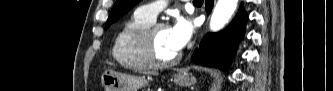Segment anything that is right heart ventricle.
Returning a JSON list of instances; mask_svg holds the SVG:
<instances>
[{"instance_id": "e07e8e85", "label": "right heart ventricle", "mask_w": 333, "mask_h": 91, "mask_svg": "<svg viewBox=\"0 0 333 91\" xmlns=\"http://www.w3.org/2000/svg\"><path fill=\"white\" fill-rule=\"evenodd\" d=\"M153 22L138 11L123 22L115 35L112 47V56L121 67L133 71L149 68L140 54L137 39L139 33Z\"/></svg>"}]
</instances>
